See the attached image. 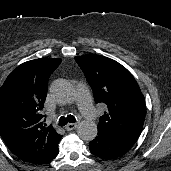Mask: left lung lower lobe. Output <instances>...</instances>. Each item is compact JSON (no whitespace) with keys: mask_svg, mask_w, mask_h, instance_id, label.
Wrapping results in <instances>:
<instances>
[{"mask_svg":"<svg viewBox=\"0 0 171 171\" xmlns=\"http://www.w3.org/2000/svg\"><path fill=\"white\" fill-rule=\"evenodd\" d=\"M89 148L92 154L107 160L118 158L130 149L100 133L89 143Z\"/></svg>","mask_w":171,"mask_h":171,"instance_id":"obj_1","label":"left lung lower lobe"}]
</instances>
